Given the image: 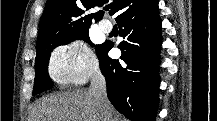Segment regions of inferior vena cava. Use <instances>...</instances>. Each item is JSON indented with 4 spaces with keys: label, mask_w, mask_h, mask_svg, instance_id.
Wrapping results in <instances>:
<instances>
[{
    "label": "inferior vena cava",
    "mask_w": 217,
    "mask_h": 121,
    "mask_svg": "<svg viewBox=\"0 0 217 121\" xmlns=\"http://www.w3.org/2000/svg\"><path fill=\"white\" fill-rule=\"evenodd\" d=\"M89 92L103 112V121H112V115L108 108L109 101L107 98L106 81L99 70L95 71L92 76Z\"/></svg>",
    "instance_id": "602c4592"
}]
</instances>
